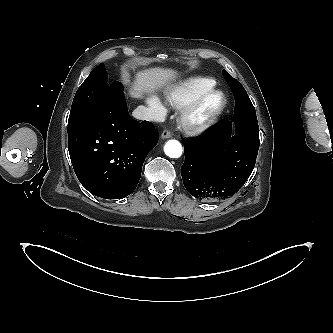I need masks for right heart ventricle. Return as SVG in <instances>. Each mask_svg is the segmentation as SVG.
Wrapping results in <instances>:
<instances>
[{"label": "right heart ventricle", "mask_w": 333, "mask_h": 333, "mask_svg": "<svg viewBox=\"0 0 333 333\" xmlns=\"http://www.w3.org/2000/svg\"><path fill=\"white\" fill-rule=\"evenodd\" d=\"M216 82L206 77H191L173 87L165 94L167 103L177 109H183L203 92L215 87Z\"/></svg>", "instance_id": "obj_1"}]
</instances>
